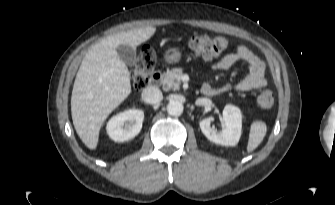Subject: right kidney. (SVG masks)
<instances>
[{
	"label": "right kidney",
	"mask_w": 335,
	"mask_h": 205,
	"mask_svg": "<svg viewBox=\"0 0 335 205\" xmlns=\"http://www.w3.org/2000/svg\"><path fill=\"white\" fill-rule=\"evenodd\" d=\"M144 112L130 109L113 116L107 123L109 137L116 142L128 141L139 134L142 129Z\"/></svg>",
	"instance_id": "1"
}]
</instances>
